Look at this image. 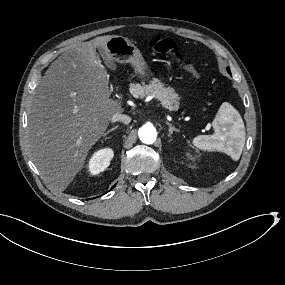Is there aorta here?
<instances>
[{
	"mask_svg": "<svg viewBox=\"0 0 285 285\" xmlns=\"http://www.w3.org/2000/svg\"><path fill=\"white\" fill-rule=\"evenodd\" d=\"M140 140L145 144H153L157 138V131L152 124H144L138 131Z\"/></svg>",
	"mask_w": 285,
	"mask_h": 285,
	"instance_id": "1",
	"label": "aorta"
}]
</instances>
